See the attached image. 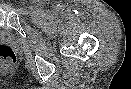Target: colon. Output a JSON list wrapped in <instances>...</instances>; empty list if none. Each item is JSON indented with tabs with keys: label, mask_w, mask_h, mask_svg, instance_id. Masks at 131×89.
Masks as SVG:
<instances>
[{
	"label": "colon",
	"mask_w": 131,
	"mask_h": 89,
	"mask_svg": "<svg viewBox=\"0 0 131 89\" xmlns=\"http://www.w3.org/2000/svg\"><path fill=\"white\" fill-rule=\"evenodd\" d=\"M15 61V55L8 46H0V62L5 64H12Z\"/></svg>",
	"instance_id": "5ec220e1"
}]
</instances>
